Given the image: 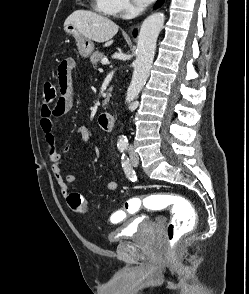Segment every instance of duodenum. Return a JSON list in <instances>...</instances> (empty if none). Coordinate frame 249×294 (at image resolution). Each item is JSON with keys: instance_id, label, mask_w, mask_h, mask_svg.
Returning <instances> with one entry per match:
<instances>
[{"instance_id": "duodenum-1", "label": "duodenum", "mask_w": 249, "mask_h": 294, "mask_svg": "<svg viewBox=\"0 0 249 294\" xmlns=\"http://www.w3.org/2000/svg\"><path fill=\"white\" fill-rule=\"evenodd\" d=\"M97 123L104 131H111L113 128L114 118L111 113L104 112L98 116Z\"/></svg>"}]
</instances>
